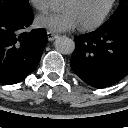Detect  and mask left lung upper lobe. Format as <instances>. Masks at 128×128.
Segmentation results:
<instances>
[{"label":"left lung upper lobe","instance_id":"obj_1","mask_svg":"<svg viewBox=\"0 0 128 128\" xmlns=\"http://www.w3.org/2000/svg\"><path fill=\"white\" fill-rule=\"evenodd\" d=\"M123 19H128V0H120L118 9L101 27L121 21Z\"/></svg>","mask_w":128,"mask_h":128}]
</instances>
